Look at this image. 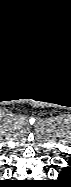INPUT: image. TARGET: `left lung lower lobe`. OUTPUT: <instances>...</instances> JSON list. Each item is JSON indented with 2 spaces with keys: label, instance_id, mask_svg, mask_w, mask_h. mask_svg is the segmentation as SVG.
Returning <instances> with one entry per match:
<instances>
[{
  "label": "left lung lower lobe",
  "instance_id": "1",
  "mask_svg": "<svg viewBox=\"0 0 71 187\" xmlns=\"http://www.w3.org/2000/svg\"><path fill=\"white\" fill-rule=\"evenodd\" d=\"M70 178H71V168L69 167L62 168L59 174V179L68 182L70 181L69 180Z\"/></svg>",
  "mask_w": 71,
  "mask_h": 187
}]
</instances>
